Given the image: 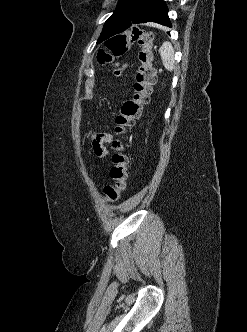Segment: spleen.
I'll return each mask as SVG.
<instances>
[{
    "label": "spleen",
    "mask_w": 247,
    "mask_h": 332,
    "mask_svg": "<svg viewBox=\"0 0 247 332\" xmlns=\"http://www.w3.org/2000/svg\"><path fill=\"white\" fill-rule=\"evenodd\" d=\"M162 63L168 71H173L175 68L174 49L169 42H164L159 49Z\"/></svg>",
    "instance_id": "3e777b00"
}]
</instances>
